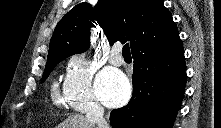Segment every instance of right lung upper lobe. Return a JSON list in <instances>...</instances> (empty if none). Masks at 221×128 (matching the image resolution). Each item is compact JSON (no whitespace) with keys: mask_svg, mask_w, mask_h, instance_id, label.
<instances>
[{"mask_svg":"<svg viewBox=\"0 0 221 128\" xmlns=\"http://www.w3.org/2000/svg\"><path fill=\"white\" fill-rule=\"evenodd\" d=\"M93 23L103 28L110 43L121 38L129 40L132 53L162 48L179 35L163 0H99L94 9L83 2L57 24L46 64L86 51Z\"/></svg>","mask_w":221,"mask_h":128,"instance_id":"cb5924a9","label":"right lung upper lobe"}]
</instances>
